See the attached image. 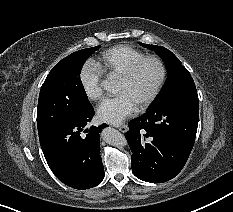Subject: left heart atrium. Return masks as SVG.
<instances>
[{"mask_svg": "<svg viewBox=\"0 0 233 212\" xmlns=\"http://www.w3.org/2000/svg\"><path fill=\"white\" fill-rule=\"evenodd\" d=\"M137 109L136 103L126 94L104 99L97 108L100 120L112 124H119L131 116Z\"/></svg>", "mask_w": 233, "mask_h": 212, "instance_id": "left-heart-atrium-1", "label": "left heart atrium"}]
</instances>
